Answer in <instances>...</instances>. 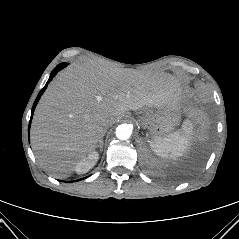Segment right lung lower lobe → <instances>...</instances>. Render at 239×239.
I'll return each mask as SVG.
<instances>
[{
	"label": "right lung lower lobe",
	"instance_id": "right-lung-lower-lobe-1",
	"mask_svg": "<svg viewBox=\"0 0 239 239\" xmlns=\"http://www.w3.org/2000/svg\"><path fill=\"white\" fill-rule=\"evenodd\" d=\"M59 70H60V69H59L58 67H56V68L52 71V73H51V75H50V77H49V80L47 81L46 85L42 88V90H41L40 93L38 94V96H37V98H36V100H35V102H34V104H33V107H32V113H31V118H30V124H31V119H32V116H33V112H34V110H35V107H36V105H37V103H38V101H39L41 95L43 94V92H44L45 89L47 88L48 83L53 79V77L57 74V72H58ZM30 124H29V128H30Z\"/></svg>",
	"mask_w": 239,
	"mask_h": 239
}]
</instances>
